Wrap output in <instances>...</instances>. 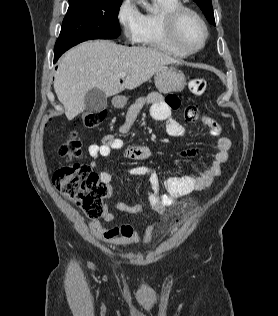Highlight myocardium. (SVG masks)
I'll return each mask as SVG.
<instances>
[{
  "label": "myocardium",
  "mask_w": 278,
  "mask_h": 316,
  "mask_svg": "<svg viewBox=\"0 0 278 316\" xmlns=\"http://www.w3.org/2000/svg\"><path fill=\"white\" fill-rule=\"evenodd\" d=\"M195 18L203 28L204 36L200 45L196 47L189 46L183 39L181 33V24L186 16ZM166 27L170 38L177 47L188 54H194L202 50L209 38V29L204 18L193 8L182 5L167 14Z\"/></svg>",
  "instance_id": "1"
}]
</instances>
